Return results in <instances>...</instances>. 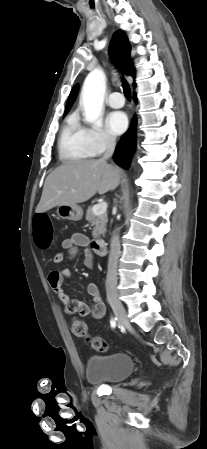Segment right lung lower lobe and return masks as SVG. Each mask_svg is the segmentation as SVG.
<instances>
[{"mask_svg":"<svg viewBox=\"0 0 207 449\" xmlns=\"http://www.w3.org/2000/svg\"><path fill=\"white\" fill-rule=\"evenodd\" d=\"M136 101V96H134ZM136 116L133 118L131 126L120 139L115 153L113 155L114 161L124 169H127L130 165L131 158L133 156L136 146Z\"/></svg>","mask_w":207,"mask_h":449,"instance_id":"98d812e1","label":"right lung lower lobe"}]
</instances>
